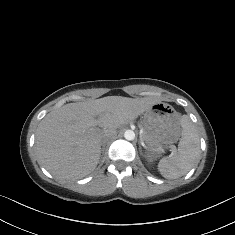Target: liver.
<instances>
[{
  "label": "liver",
  "mask_w": 235,
  "mask_h": 235,
  "mask_svg": "<svg viewBox=\"0 0 235 235\" xmlns=\"http://www.w3.org/2000/svg\"><path fill=\"white\" fill-rule=\"evenodd\" d=\"M159 102L157 97L112 96L63 105L48 113L35 131L37 163L62 182L82 179L95 170L101 157V135L90 128L94 118H99L102 134L115 135Z\"/></svg>",
  "instance_id": "obj_1"
}]
</instances>
